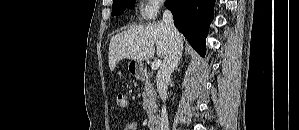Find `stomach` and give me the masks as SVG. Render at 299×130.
<instances>
[{
	"label": "stomach",
	"instance_id": "0dacf381",
	"mask_svg": "<svg viewBox=\"0 0 299 130\" xmlns=\"http://www.w3.org/2000/svg\"><path fill=\"white\" fill-rule=\"evenodd\" d=\"M143 64L141 61L129 60L128 62V71L130 74L137 75L141 72Z\"/></svg>",
	"mask_w": 299,
	"mask_h": 130
}]
</instances>
